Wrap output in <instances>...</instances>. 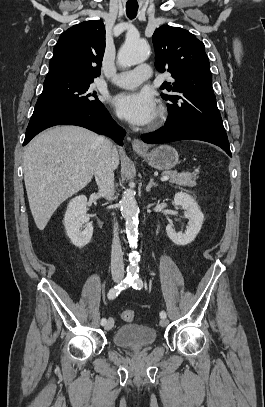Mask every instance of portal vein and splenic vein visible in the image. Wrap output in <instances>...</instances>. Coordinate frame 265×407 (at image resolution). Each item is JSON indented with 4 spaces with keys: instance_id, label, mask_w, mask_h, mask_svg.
<instances>
[{
    "instance_id": "obj_1",
    "label": "portal vein and splenic vein",
    "mask_w": 265,
    "mask_h": 407,
    "mask_svg": "<svg viewBox=\"0 0 265 407\" xmlns=\"http://www.w3.org/2000/svg\"><path fill=\"white\" fill-rule=\"evenodd\" d=\"M170 178L169 175L162 176L161 181H166Z\"/></svg>"
}]
</instances>
